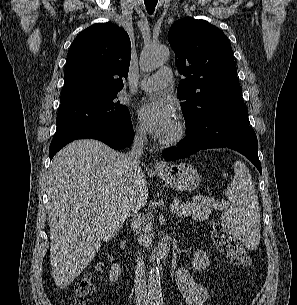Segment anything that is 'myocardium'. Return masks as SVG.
Listing matches in <instances>:
<instances>
[{"label": "myocardium", "instance_id": "myocardium-1", "mask_svg": "<svg viewBox=\"0 0 297 305\" xmlns=\"http://www.w3.org/2000/svg\"><path fill=\"white\" fill-rule=\"evenodd\" d=\"M187 126L186 123L178 119L175 123V129L172 134L166 138L160 140V143L164 146H172L180 142L186 134Z\"/></svg>", "mask_w": 297, "mask_h": 305}]
</instances>
